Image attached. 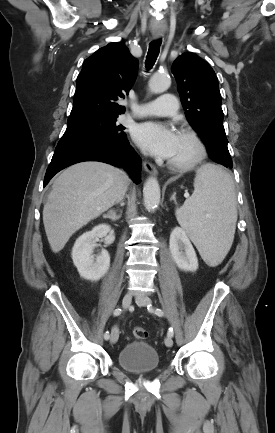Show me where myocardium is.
I'll return each instance as SVG.
<instances>
[{
  "label": "myocardium",
  "instance_id": "obj_1",
  "mask_svg": "<svg viewBox=\"0 0 275 433\" xmlns=\"http://www.w3.org/2000/svg\"><path fill=\"white\" fill-rule=\"evenodd\" d=\"M180 134L185 135L189 137L196 145L197 153L196 156L187 163H176L173 161L168 160L167 165L169 168L178 171V172H189L195 169L197 166H199L202 161L205 159L207 154V148L204 140L199 135L198 132H196L192 128H182L180 130Z\"/></svg>",
  "mask_w": 275,
  "mask_h": 433
}]
</instances>
